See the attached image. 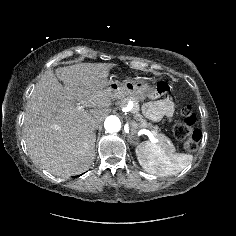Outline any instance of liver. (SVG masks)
<instances>
[{
	"mask_svg": "<svg viewBox=\"0 0 236 236\" xmlns=\"http://www.w3.org/2000/svg\"><path fill=\"white\" fill-rule=\"evenodd\" d=\"M112 63H81L45 72L27 103L24 134L32 160L56 176L89 169L95 157L91 121L101 123L115 99L107 90ZM63 82V85L59 82ZM77 105L89 107L79 111Z\"/></svg>",
	"mask_w": 236,
	"mask_h": 236,
	"instance_id": "1",
	"label": "liver"
}]
</instances>
